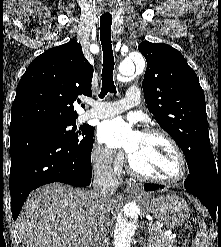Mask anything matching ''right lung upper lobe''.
<instances>
[{
    "label": "right lung upper lobe",
    "instance_id": "cb5924a9",
    "mask_svg": "<svg viewBox=\"0 0 221 247\" xmlns=\"http://www.w3.org/2000/svg\"><path fill=\"white\" fill-rule=\"evenodd\" d=\"M93 67L80 43L70 40L45 51L20 79L11 108L10 130L75 121L73 102L91 96Z\"/></svg>",
    "mask_w": 221,
    "mask_h": 247
}]
</instances>
